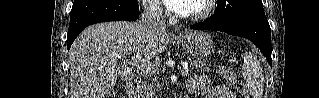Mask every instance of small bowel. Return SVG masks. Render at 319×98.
I'll list each match as a JSON object with an SVG mask.
<instances>
[{
	"label": "small bowel",
	"mask_w": 319,
	"mask_h": 98,
	"mask_svg": "<svg viewBox=\"0 0 319 98\" xmlns=\"http://www.w3.org/2000/svg\"><path fill=\"white\" fill-rule=\"evenodd\" d=\"M188 85L191 91L201 89L204 98H235L229 87L224 85H211L204 76L192 77Z\"/></svg>",
	"instance_id": "obj_1"
}]
</instances>
